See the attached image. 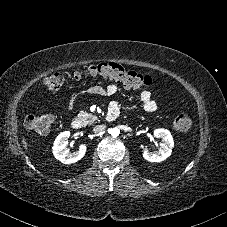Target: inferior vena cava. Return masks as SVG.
Segmentation results:
<instances>
[{
    "mask_svg": "<svg viewBox=\"0 0 227 227\" xmlns=\"http://www.w3.org/2000/svg\"><path fill=\"white\" fill-rule=\"evenodd\" d=\"M105 129H106L105 125H97L93 128V131L95 133H100V132L104 131Z\"/></svg>",
    "mask_w": 227,
    "mask_h": 227,
    "instance_id": "inferior-vena-cava-1",
    "label": "inferior vena cava"
}]
</instances>
